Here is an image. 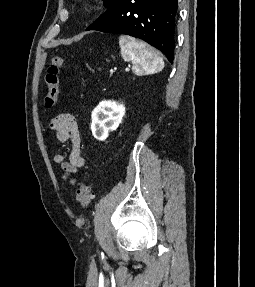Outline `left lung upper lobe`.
I'll return each mask as SVG.
<instances>
[{
  "label": "left lung upper lobe",
  "instance_id": "5c2ea615",
  "mask_svg": "<svg viewBox=\"0 0 255 287\" xmlns=\"http://www.w3.org/2000/svg\"><path fill=\"white\" fill-rule=\"evenodd\" d=\"M115 0H104V4L106 7H109Z\"/></svg>",
  "mask_w": 255,
  "mask_h": 287
}]
</instances>
